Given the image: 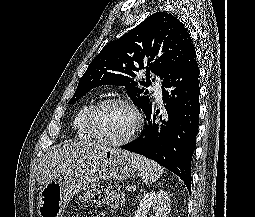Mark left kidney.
I'll return each mask as SVG.
<instances>
[{
    "instance_id": "left-kidney-1",
    "label": "left kidney",
    "mask_w": 255,
    "mask_h": 217,
    "mask_svg": "<svg viewBox=\"0 0 255 217\" xmlns=\"http://www.w3.org/2000/svg\"><path fill=\"white\" fill-rule=\"evenodd\" d=\"M150 208L156 210L155 217H168L171 210L168 192L159 190L144 194L134 217H147V212Z\"/></svg>"
}]
</instances>
